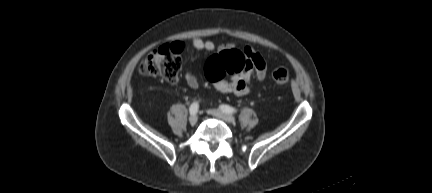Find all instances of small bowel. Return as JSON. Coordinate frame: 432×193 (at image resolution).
Listing matches in <instances>:
<instances>
[{
	"label": "small bowel",
	"mask_w": 432,
	"mask_h": 193,
	"mask_svg": "<svg viewBox=\"0 0 432 193\" xmlns=\"http://www.w3.org/2000/svg\"><path fill=\"white\" fill-rule=\"evenodd\" d=\"M192 47L197 51L212 52L216 49V45L211 40H203L200 38H193L191 40ZM184 48V45H181ZM235 49L232 44H225L218 47V53ZM247 57L248 66L241 73L233 75L230 81L220 79L215 82V88L222 94H234L238 97L246 96L250 91V82L253 77L259 81H263L266 77L267 67L264 58L257 51L250 47L242 50ZM185 81L188 87L196 89L199 85L197 76L188 71L185 75Z\"/></svg>",
	"instance_id": "c3829d8e"
}]
</instances>
